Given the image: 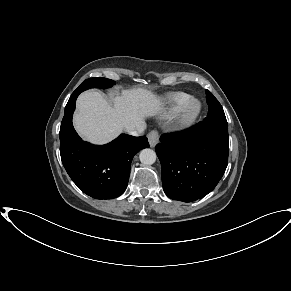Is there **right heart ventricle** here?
<instances>
[{"mask_svg": "<svg viewBox=\"0 0 291 291\" xmlns=\"http://www.w3.org/2000/svg\"><path fill=\"white\" fill-rule=\"evenodd\" d=\"M191 99L192 96L185 92L168 93L161 100L160 111L166 117L174 116L180 113Z\"/></svg>", "mask_w": 291, "mask_h": 291, "instance_id": "e07e8e85", "label": "right heart ventricle"}]
</instances>
